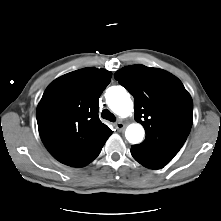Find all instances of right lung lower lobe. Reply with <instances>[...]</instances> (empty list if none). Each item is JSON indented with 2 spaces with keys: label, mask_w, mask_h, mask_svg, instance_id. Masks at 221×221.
Here are the masks:
<instances>
[{
  "label": "right lung lower lobe",
  "mask_w": 221,
  "mask_h": 221,
  "mask_svg": "<svg viewBox=\"0 0 221 221\" xmlns=\"http://www.w3.org/2000/svg\"><path fill=\"white\" fill-rule=\"evenodd\" d=\"M107 140V139H106ZM106 140H104L101 144H99L96 148H94L87 156L83 159L78 161L77 163L73 164L72 167H83L93 161L100 153L103 145L105 144Z\"/></svg>",
  "instance_id": "98d812e1"
}]
</instances>
